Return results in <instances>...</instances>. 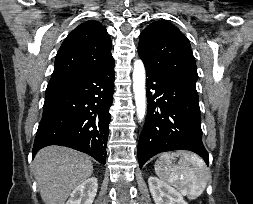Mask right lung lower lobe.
<instances>
[{"mask_svg":"<svg viewBox=\"0 0 253 204\" xmlns=\"http://www.w3.org/2000/svg\"><path fill=\"white\" fill-rule=\"evenodd\" d=\"M113 92L114 61L48 86L32 157L45 146L61 145L105 164Z\"/></svg>","mask_w":253,"mask_h":204,"instance_id":"right-lung-lower-lobe-1","label":"right lung lower lobe"}]
</instances>
